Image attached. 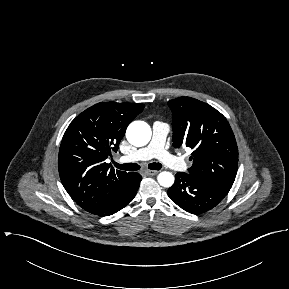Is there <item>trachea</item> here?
<instances>
[{
    "label": "trachea",
    "mask_w": 289,
    "mask_h": 289,
    "mask_svg": "<svg viewBox=\"0 0 289 289\" xmlns=\"http://www.w3.org/2000/svg\"><path fill=\"white\" fill-rule=\"evenodd\" d=\"M114 166L121 170L126 171H137L140 169V166L136 163H127V164H118L116 162H113ZM148 168L151 170H160L162 168V165L160 163H150L148 165Z\"/></svg>",
    "instance_id": "obj_1"
}]
</instances>
